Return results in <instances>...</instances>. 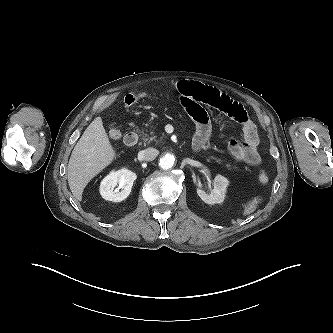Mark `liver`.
<instances>
[{"label":"liver","instance_id":"obj_1","mask_svg":"<svg viewBox=\"0 0 333 333\" xmlns=\"http://www.w3.org/2000/svg\"><path fill=\"white\" fill-rule=\"evenodd\" d=\"M115 156L102 119L96 117L75 145L67 166L68 184L76 200H82L86 185L111 164Z\"/></svg>","mask_w":333,"mask_h":333}]
</instances>
